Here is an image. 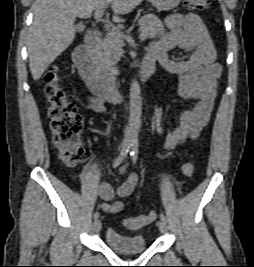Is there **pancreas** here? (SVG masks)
I'll use <instances>...</instances> for the list:
<instances>
[{"instance_id":"pancreas-1","label":"pancreas","mask_w":254,"mask_h":267,"mask_svg":"<svg viewBox=\"0 0 254 267\" xmlns=\"http://www.w3.org/2000/svg\"><path fill=\"white\" fill-rule=\"evenodd\" d=\"M140 32L146 38H155L164 32V25L161 20L153 14L141 17L138 21ZM124 45L121 37H113L110 33L106 35L101 44L94 50L96 63L104 70L116 72L117 64Z\"/></svg>"}]
</instances>
